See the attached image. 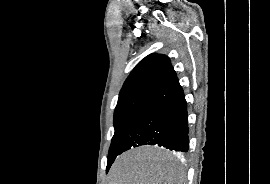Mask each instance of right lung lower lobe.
<instances>
[{
  "instance_id": "obj_1",
  "label": "right lung lower lobe",
  "mask_w": 270,
  "mask_h": 184,
  "mask_svg": "<svg viewBox=\"0 0 270 184\" xmlns=\"http://www.w3.org/2000/svg\"><path fill=\"white\" fill-rule=\"evenodd\" d=\"M187 103L178 79L151 95L135 118L119 154L139 145H158L187 152Z\"/></svg>"
}]
</instances>
